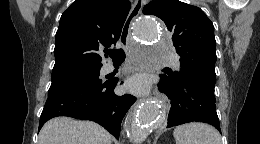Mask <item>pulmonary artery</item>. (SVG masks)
Instances as JSON below:
<instances>
[{
  "instance_id": "obj_1",
  "label": "pulmonary artery",
  "mask_w": 260,
  "mask_h": 144,
  "mask_svg": "<svg viewBox=\"0 0 260 144\" xmlns=\"http://www.w3.org/2000/svg\"><path fill=\"white\" fill-rule=\"evenodd\" d=\"M164 58L168 59V58H171V56L166 55V56H164ZM175 66H176V68H180V63L178 60L175 61ZM104 69L106 72H111L114 70V67L112 65H106Z\"/></svg>"
}]
</instances>
